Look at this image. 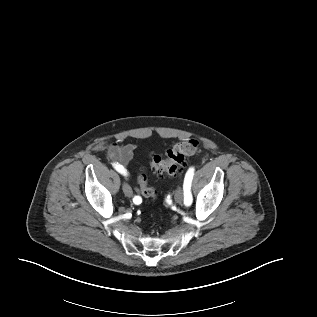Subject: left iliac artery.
Segmentation results:
<instances>
[{
	"mask_svg": "<svg viewBox=\"0 0 317 317\" xmlns=\"http://www.w3.org/2000/svg\"><path fill=\"white\" fill-rule=\"evenodd\" d=\"M194 175V167L188 169L183 183L184 191V203L185 205H190L192 203V194H191V182Z\"/></svg>",
	"mask_w": 317,
	"mask_h": 317,
	"instance_id": "44dca946",
	"label": "left iliac artery"
}]
</instances>
